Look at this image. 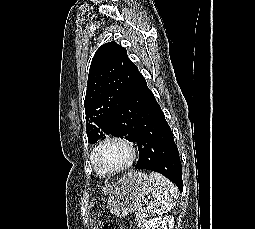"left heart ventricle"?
I'll list each match as a JSON object with an SVG mask.
<instances>
[{
  "label": "left heart ventricle",
  "mask_w": 255,
  "mask_h": 229,
  "mask_svg": "<svg viewBox=\"0 0 255 229\" xmlns=\"http://www.w3.org/2000/svg\"><path fill=\"white\" fill-rule=\"evenodd\" d=\"M128 158L127 148L119 143L106 144L99 153L102 164L111 168L122 166Z\"/></svg>",
  "instance_id": "obj_1"
}]
</instances>
